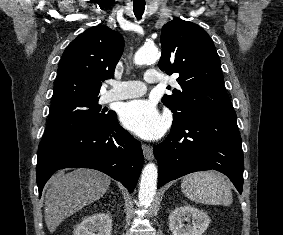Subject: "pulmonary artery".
Instances as JSON below:
<instances>
[{
    "label": "pulmonary artery",
    "mask_w": 283,
    "mask_h": 235,
    "mask_svg": "<svg viewBox=\"0 0 283 235\" xmlns=\"http://www.w3.org/2000/svg\"><path fill=\"white\" fill-rule=\"evenodd\" d=\"M144 79L148 84H155L160 81V77L156 69L147 70ZM146 83L135 80L113 81L111 83L112 88L104 95V101L111 102L140 97L146 93Z\"/></svg>",
    "instance_id": "pulmonary-artery-1"
}]
</instances>
